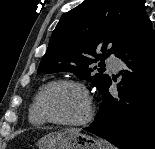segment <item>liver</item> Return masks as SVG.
<instances>
[{
    "mask_svg": "<svg viewBox=\"0 0 155 149\" xmlns=\"http://www.w3.org/2000/svg\"><path fill=\"white\" fill-rule=\"evenodd\" d=\"M69 130H71V131H73V132H79V131H80L79 129H76V128H71V129H69Z\"/></svg>",
    "mask_w": 155,
    "mask_h": 149,
    "instance_id": "liver-1",
    "label": "liver"
}]
</instances>
